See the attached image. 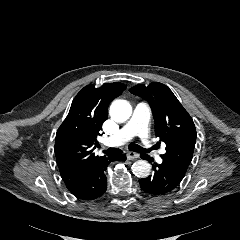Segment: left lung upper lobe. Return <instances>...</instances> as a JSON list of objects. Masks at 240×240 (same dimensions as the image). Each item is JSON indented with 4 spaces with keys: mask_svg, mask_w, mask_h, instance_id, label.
<instances>
[{
    "mask_svg": "<svg viewBox=\"0 0 240 240\" xmlns=\"http://www.w3.org/2000/svg\"><path fill=\"white\" fill-rule=\"evenodd\" d=\"M130 92L147 100L151 106L156 135L166 144V153L161 155L163 162L186 173L197 137L191 116L162 83L153 82L148 86L139 84L132 87Z\"/></svg>",
    "mask_w": 240,
    "mask_h": 240,
    "instance_id": "5c2ea615",
    "label": "left lung upper lobe"
}]
</instances>
